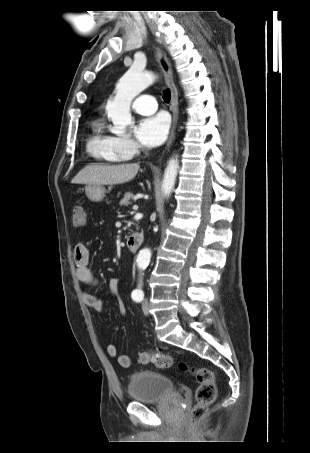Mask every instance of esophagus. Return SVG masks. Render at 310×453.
I'll list each match as a JSON object with an SVG mask.
<instances>
[{
    "label": "esophagus",
    "mask_w": 310,
    "mask_h": 453,
    "mask_svg": "<svg viewBox=\"0 0 310 453\" xmlns=\"http://www.w3.org/2000/svg\"><path fill=\"white\" fill-rule=\"evenodd\" d=\"M159 63L165 74L166 83L171 90V110L173 113V126H172L171 133H170L167 145H166V149H168L172 145L173 140L175 138V129H176L177 118H178V92H177L175 83L173 81L171 65L168 61V58L166 57V55L164 53L159 54Z\"/></svg>",
    "instance_id": "obj_1"
}]
</instances>
